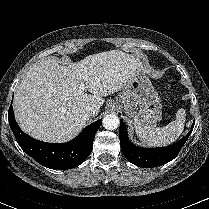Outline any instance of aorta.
I'll list each match as a JSON object with an SVG mask.
<instances>
[{"instance_id":"1","label":"aorta","mask_w":209,"mask_h":209,"mask_svg":"<svg viewBox=\"0 0 209 209\" xmlns=\"http://www.w3.org/2000/svg\"><path fill=\"white\" fill-rule=\"evenodd\" d=\"M102 123L105 129L115 130L119 127L120 120L116 114H109L103 118Z\"/></svg>"}]
</instances>
